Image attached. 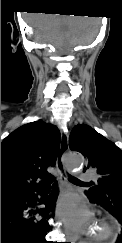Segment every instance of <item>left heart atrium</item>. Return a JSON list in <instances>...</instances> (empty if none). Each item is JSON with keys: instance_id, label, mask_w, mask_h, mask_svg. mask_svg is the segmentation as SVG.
Instances as JSON below:
<instances>
[{"instance_id": "39dd6f15", "label": "left heart atrium", "mask_w": 122, "mask_h": 243, "mask_svg": "<svg viewBox=\"0 0 122 243\" xmlns=\"http://www.w3.org/2000/svg\"><path fill=\"white\" fill-rule=\"evenodd\" d=\"M59 214L67 225L77 231H87L93 222L91 212L78 205L74 198H66L59 205Z\"/></svg>"}]
</instances>
